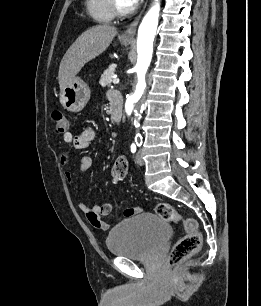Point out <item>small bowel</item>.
<instances>
[{
	"label": "small bowel",
	"instance_id": "obj_1",
	"mask_svg": "<svg viewBox=\"0 0 261 306\" xmlns=\"http://www.w3.org/2000/svg\"><path fill=\"white\" fill-rule=\"evenodd\" d=\"M111 101L118 99L121 101V97L113 93L111 94ZM96 138L95 130L92 128H84L77 134L71 132H65L63 134V140L65 143L71 145L74 149L83 150L89 148ZM69 161V153L66 152L61 157L62 165H66ZM92 166V159L89 156H82L78 160V167L81 173H86ZM65 176L71 180L72 173L70 170L65 171ZM80 210L86 215L89 222L97 229L106 231L111 227V223L103 220V217L109 216L113 211V206L110 203H104L102 205L88 206L81 202L79 203ZM140 211L139 207L129 208L124 211V217H130L137 214Z\"/></svg>",
	"mask_w": 261,
	"mask_h": 306
}]
</instances>
